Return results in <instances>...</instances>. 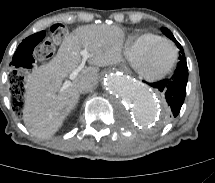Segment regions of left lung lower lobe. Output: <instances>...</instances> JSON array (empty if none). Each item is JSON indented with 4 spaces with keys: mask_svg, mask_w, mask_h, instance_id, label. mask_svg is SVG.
Masks as SVG:
<instances>
[{
    "mask_svg": "<svg viewBox=\"0 0 215 183\" xmlns=\"http://www.w3.org/2000/svg\"><path fill=\"white\" fill-rule=\"evenodd\" d=\"M188 68L186 58L180 59L177 68L170 79H164L150 85L158 89L166 99L167 118L176 117L183 105L186 95Z\"/></svg>",
    "mask_w": 215,
    "mask_h": 183,
    "instance_id": "left-lung-lower-lobe-1",
    "label": "left lung lower lobe"
}]
</instances>
